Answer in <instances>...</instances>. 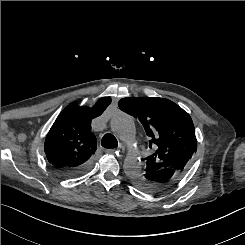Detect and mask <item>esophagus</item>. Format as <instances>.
Here are the masks:
<instances>
[{"label": "esophagus", "mask_w": 245, "mask_h": 245, "mask_svg": "<svg viewBox=\"0 0 245 245\" xmlns=\"http://www.w3.org/2000/svg\"><path fill=\"white\" fill-rule=\"evenodd\" d=\"M105 152L107 154H115L116 153L115 149H107Z\"/></svg>", "instance_id": "obj_1"}]
</instances>
